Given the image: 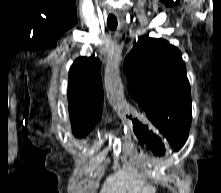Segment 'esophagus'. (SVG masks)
Returning a JSON list of instances; mask_svg holds the SVG:
<instances>
[{
    "label": "esophagus",
    "instance_id": "esophagus-1",
    "mask_svg": "<svg viewBox=\"0 0 221 193\" xmlns=\"http://www.w3.org/2000/svg\"><path fill=\"white\" fill-rule=\"evenodd\" d=\"M116 15L119 17L122 26L125 27L126 24H125L124 16L121 14H116Z\"/></svg>",
    "mask_w": 221,
    "mask_h": 193
}]
</instances>
